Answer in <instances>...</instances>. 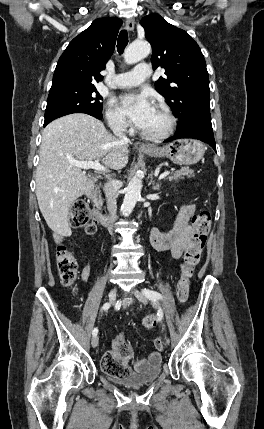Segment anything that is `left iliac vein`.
<instances>
[{"label":"left iliac vein","instance_id":"1","mask_svg":"<svg viewBox=\"0 0 264 429\" xmlns=\"http://www.w3.org/2000/svg\"><path fill=\"white\" fill-rule=\"evenodd\" d=\"M133 294L143 304H147L148 303V300H147L146 296L143 293H141L138 289L134 288L133 289ZM165 340H166V343L168 344L170 339L167 337Z\"/></svg>","mask_w":264,"mask_h":429}]
</instances>
